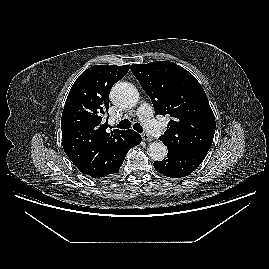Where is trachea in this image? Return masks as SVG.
Wrapping results in <instances>:
<instances>
[{"instance_id": "obj_1", "label": "trachea", "mask_w": 269, "mask_h": 269, "mask_svg": "<svg viewBox=\"0 0 269 269\" xmlns=\"http://www.w3.org/2000/svg\"><path fill=\"white\" fill-rule=\"evenodd\" d=\"M120 129H129L131 127V122L127 119L121 120L119 124L117 125ZM134 130H136L139 133L143 132V128L139 123H135L133 125Z\"/></svg>"}]
</instances>
